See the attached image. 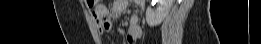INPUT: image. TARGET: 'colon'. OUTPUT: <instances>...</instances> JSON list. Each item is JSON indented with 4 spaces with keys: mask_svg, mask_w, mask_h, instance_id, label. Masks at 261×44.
Returning a JSON list of instances; mask_svg holds the SVG:
<instances>
[{
    "mask_svg": "<svg viewBox=\"0 0 261 44\" xmlns=\"http://www.w3.org/2000/svg\"><path fill=\"white\" fill-rule=\"evenodd\" d=\"M88 6H97V1H88Z\"/></svg>",
    "mask_w": 261,
    "mask_h": 44,
    "instance_id": "colon-1",
    "label": "colon"
}]
</instances>
